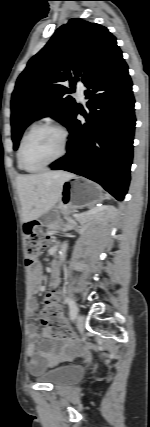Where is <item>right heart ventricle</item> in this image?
Listing matches in <instances>:
<instances>
[{
	"mask_svg": "<svg viewBox=\"0 0 150 427\" xmlns=\"http://www.w3.org/2000/svg\"><path fill=\"white\" fill-rule=\"evenodd\" d=\"M32 127H33V126H29V127L25 130V132L23 133V135H22V137H21L20 143H19V148H18V151H17V162H18V166H19V168H20V169H22V167H21V165H20V162H19V150H20V146H21V143H22V141H23L24 137L26 136V134L28 133V131H29Z\"/></svg>",
	"mask_w": 150,
	"mask_h": 427,
	"instance_id": "right-heart-ventricle-1",
	"label": "right heart ventricle"
}]
</instances>
